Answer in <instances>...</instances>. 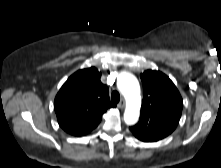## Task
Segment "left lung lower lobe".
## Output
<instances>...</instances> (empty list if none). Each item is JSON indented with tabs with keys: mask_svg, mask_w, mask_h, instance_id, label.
I'll return each instance as SVG.
<instances>
[{
	"mask_svg": "<svg viewBox=\"0 0 221 168\" xmlns=\"http://www.w3.org/2000/svg\"><path fill=\"white\" fill-rule=\"evenodd\" d=\"M135 135V137L143 142H155L158 141L159 139H156L154 137L151 136H147V135H141V134H136L133 133Z\"/></svg>",
	"mask_w": 221,
	"mask_h": 168,
	"instance_id": "obj_1",
	"label": "left lung lower lobe"
}]
</instances>
